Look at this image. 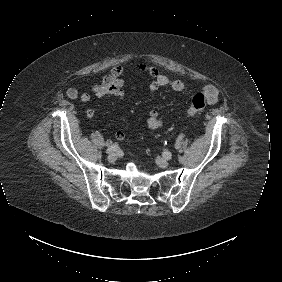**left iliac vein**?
Segmentation results:
<instances>
[{
  "mask_svg": "<svg viewBox=\"0 0 282 282\" xmlns=\"http://www.w3.org/2000/svg\"><path fill=\"white\" fill-rule=\"evenodd\" d=\"M156 162L162 168H165L169 165L168 159L163 157H157Z\"/></svg>",
  "mask_w": 282,
  "mask_h": 282,
  "instance_id": "1",
  "label": "left iliac vein"
}]
</instances>
